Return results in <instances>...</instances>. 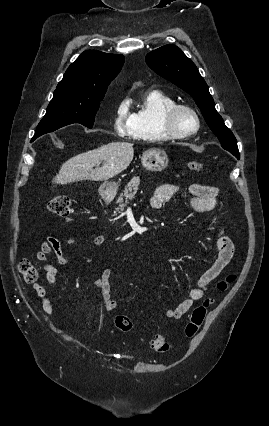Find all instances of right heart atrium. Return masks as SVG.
Segmentation results:
<instances>
[{
  "mask_svg": "<svg viewBox=\"0 0 269 426\" xmlns=\"http://www.w3.org/2000/svg\"><path fill=\"white\" fill-rule=\"evenodd\" d=\"M112 130L115 135L121 138H131L134 136V118L127 99H121L115 105Z\"/></svg>",
  "mask_w": 269,
  "mask_h": 426,
  "instance_id": "d8ad5b80",
  "label": "right heart atrium"
}]
</instances>
